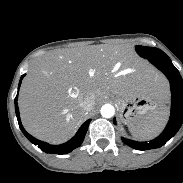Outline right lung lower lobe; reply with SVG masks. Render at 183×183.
I'll list each match as a JSON object with an SVG mask.
<instances>
[{
	"label": "right lung lower lobe",
	"mask_w": 183,
	"mask_h": 183,
	"mask_svg": "<svg viewBox=\"0 0 183 183\" xmlns=\"http://www.w3.org/2000/svg\"><path fill=\"white\" fill-rule=\"evenodd\" d=\"M24 76H25V74L21 76L18 89L21 85V81ZM17 98H18V94L15 98V111H16V116H17L19 127H20L21 131L23 132V134L26 136V138L29 141H31L34 145H37L42 151H44L45 153H52V154H67V153L71 152L73 149H75L81 145V143L84 140L85 134L88 130V126L90 124L91 119L87 120L79 128L76 135L72 139H70L68 142L60 144V145H50L46 142H43V141H40V140L34 138L29 133H27L26 130L23 128L21 120H20Z\"/></svg>",
	"instance_id": "right-lung-lower-lobe-1"
}]
</instances>
